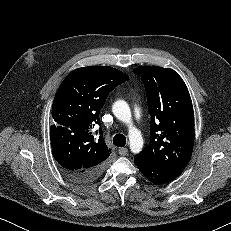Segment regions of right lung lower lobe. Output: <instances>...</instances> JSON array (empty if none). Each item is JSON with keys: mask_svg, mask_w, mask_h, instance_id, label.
I'll use <instances>...</instances> for the list:
<instances>
[{"mask_svg": "<svg viewBox=\"0 0 231 231\" xmlns=\"http://www.w3.org/2000/svg\"><path fill=\"white\" fill-rule=\"evenodd\" d=\"M103 166L88 171H65L69 179L75 183L85 184L96 179L102 172Z\"/></svg>", "mask_w": 231, "mask_h": 231, "instance_id": "right-lung-lower-lobe-1", "label": "right lung lower lobe"}]
</instances>
